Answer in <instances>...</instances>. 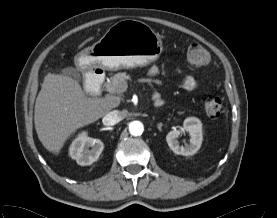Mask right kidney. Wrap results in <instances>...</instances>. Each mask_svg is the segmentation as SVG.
<instances>
[{"label":"right kidney","mask_w":277,"mask_h":218,"mask_svg":"<svg viewBox=\"0 0 277 218\" xmlns=\"http://www.w3.org/2000/svg\"><path fill=\"white\" fill-rule=\"evenodd\" d=\"M103 149L104 144L100 139L88 137L87 132L83 131L72 142L69 155L79 165L87 166L98 160Z\"/></svg>","instance_id":"obj_1"}]
</instances>
